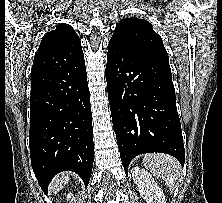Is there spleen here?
Wrapping results in <instances>:
<instances>
[{"instance_id":"1","label":"spleen","mask_w":222,"mask_h":203,"mask_svg":"<svg viewBox=\"0 0 222 203\" xmlns=\"http://www.w3.org/2000/svg\"><path fill=\"white\" fill-rule=\"evenodd\" d=\"M143 164L154 176L163 179L170 190L180 185L182 168L174 157L164 153L146 154Z\"/></svg>"}]
</instances>
